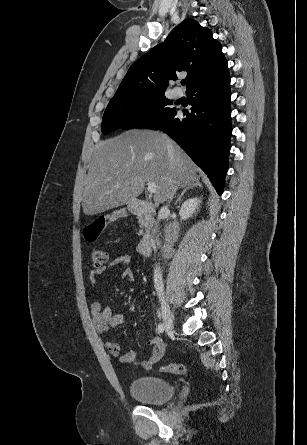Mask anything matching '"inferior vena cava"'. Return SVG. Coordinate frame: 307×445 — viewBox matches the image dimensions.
I'll use <instances>...</instances> for the list:
<instances>
[{
  "mask_svg": "<svg viewBox=\"0 0 307 445\" xmlns=\"http://www.w3.org/2000/svg\"><path fill=\"white\" fill-rule=\"evenodd\" d=\"M167 148H168L169 152H173L174 144H173L172 140H167ZM174 194H175V190H174V192H171V194H169V198H173ZM168 206H169V204H165V206H162L161 210H159L158 218H162L163 214H165V212H167ZM156 243H157V245H159V241H156ZM153 281H154V287L157 291L159 301L161 303H164L166 301V298L164 295V285H163V281H162V273H161L160 267H155Z\"/></svg>",
  "mask_w": 307,
  "mask_h": 445,
  "instance_id": "inferior-vena-cava-1",
  "label": "inferior vena cava"
}]
</instances>
